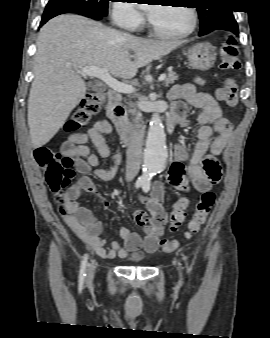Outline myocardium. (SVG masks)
Instances as JSON below:
<instances>
[{"mask_svg": "<svg viewBox=\"0 0 270 338\" xmlns=\"http://www.w3.org/2000/svg\"><path fill=\"white\" fill-rule=\"evenodd\" d=\"M186 8L189 10L190 15H191V25L187 30L180 32V33H164V32L159 31L155 27L152 19H150L149 20V26H150L151 32L156 37H159V38H162V39H183V38H186L189 35H191L197 27L198 15H197L196 10L193 7L186 5Z\"/></svg>", "mask_w": 270, "mask_h": 338, "instance_id": "myocardium-1", "label": "myocardium"}]
</instances>
